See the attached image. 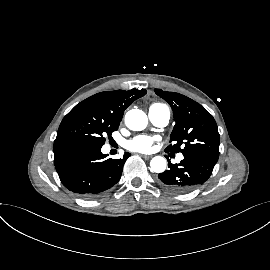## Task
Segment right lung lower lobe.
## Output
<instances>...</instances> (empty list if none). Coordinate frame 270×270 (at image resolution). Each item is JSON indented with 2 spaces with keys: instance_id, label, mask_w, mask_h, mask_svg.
Returning <instances> with one entry per match:
<instances>
[{
  "instance_id": "right-lung-lower-lobe-1",
  "label": "right lung lower lobe",
  "mask_w": 270,
  "mask_h": 270,
  "mask_svg": "<svg viewBox=\"0 0 270 270\" xmlns=\"http://www.w3.org/2000/svg\"><path fill=\"white\" fill-rule=\"evenodd\" d=\"M101 147L78 142L54 144V164L62 184L83 198H93L114 186L130 156L106 158Z\"/></svg>"
}]
</instances>
